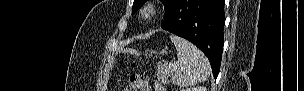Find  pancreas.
I'll use <instances>...</instances> for the list:
<instances>
[{"mask_svg": "<svg viewBox=\"0 0 304 91\" xmlns=\"http://www.w3.org/2000/svg\"><path fill=\"white\" fill-rule=\"evenodd\" d=\"M173 74L172 69L167 67L165 64H159L157 66L156 76L158 80H160L163 84L168 83V78H170Z\"/></svg>", "mask_w": 304, "mask_h": 91, "instance_id": "obj_1", "label": "pancreas"}]
</instances>
